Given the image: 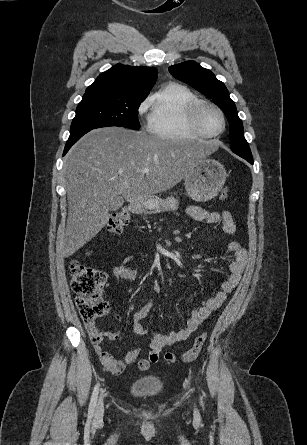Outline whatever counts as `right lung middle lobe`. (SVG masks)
Wrapping results in <instances>:
<instances>
[{"instance_id": "1", "label": "right lung middle lobe", "mask_w": 307, "mask_h": 445, "mask_svg": "<svg viewBox=\"0 0 307 445\" xmlns=\"http://www.w3.org/2000/svg\"><path fill=\"white\" fill-rule=\"evenodd\" d=\"M146 97L83 96L70 128V136L100 127L119 126L139 129L138 107Z\"/></svg>"}]
</instances>
